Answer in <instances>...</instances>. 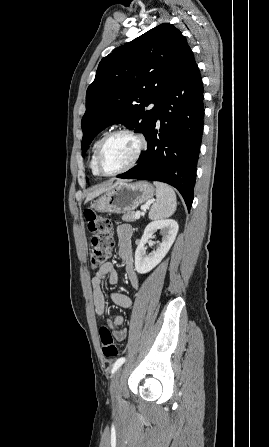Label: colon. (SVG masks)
I'll list each match as a JSON object with an SVG mask.
<instances>
[{
  "label": "colon",
  "mask_w": 269,
  "mask_h": 447,
  "mask_svg": "<svg viewBox=\"0 0 269 447\" xmlns=\"http://www.w3.org/2000/svg\"><path fill=\"white\" fill-rule=\"evenodd\" d=\"M87 222V228L92 235V249L90 251V264L93 268H99L108 262L113 246V232L110 221L103 215L92 209H86L83 213ZM101 349L106 358H117L119 350L114 342L112 330L107 325H101L98 329Z\"/></svg>",
  "instance_id": "obj_1"
}]
</instances>
